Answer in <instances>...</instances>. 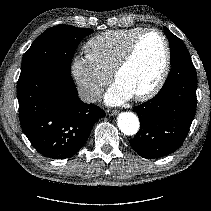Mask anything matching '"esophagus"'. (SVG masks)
<instances>
[{
	"instance_id": "obj_1",
	"label": "esophagus",
	"mask_w": 211,
	"mask_h": 211,
	"mask_svg": "<svg viewBox=\"0 0 211 211\" xmlns=\"http://www.w3.org/2000/svg\"><path fill=\"white\" fill-rule=\"evenodd\" d=\"M107 114H108L109 116H115V115L118 114V111H117V110L109 109V110H107Z\"/></svg>"
}]
</instances>
